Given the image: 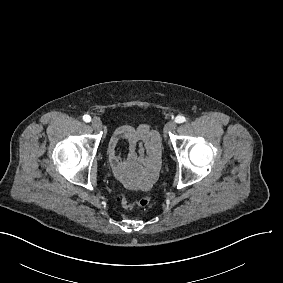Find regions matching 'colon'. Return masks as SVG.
<instances>
[{"label": "colon", "mask_w": 283, "mask_h": 283, "mask_svg": "<svg viewBox=\"0 0 283 283\" xmlns=\"http://www.w3.org/2000/svg\"><path fill=\"white\" fill-rule=\"evenodd\" d=\"M150 202H151V198L149 196H142V197H139L134 202V205H136L137 207H140V208H146V207L149 206ZM126 207L131 208L132 205L128 204Z\"/></svg>", "instance_id": "1"}]
</instances>
